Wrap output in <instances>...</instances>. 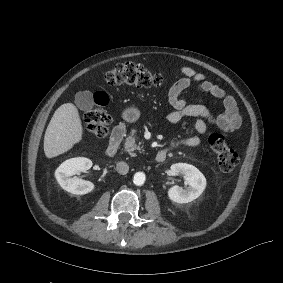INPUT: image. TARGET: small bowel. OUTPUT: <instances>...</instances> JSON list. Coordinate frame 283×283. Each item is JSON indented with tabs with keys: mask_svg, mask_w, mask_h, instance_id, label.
<instances>
[{
	"mask_svg": "<svg viewBox=\"0 0 283 283\" xmlns=\"http://www.w3.org/2000/svg\"><path fill=\"white\" fill-rule=\"evenodd\" d=\"M180 71L182 77L174 82L168 91V102L173 108L167 115L168 122L176 124L187 117L196 118L193 129L198 134H204L211 125L226 134L240 128L241 116L237 103L232 96L228 95L220 86L212 83L205 74L199 73L191 67L184 66ZM192 86L222 100L224 112L214 117L206 106L189 104L182 94ZM200 144V137L189 136L172 143V147H197Z\"/></svg>",
	"mask_w": 283,
	"mask_h": 283,
	"instance_id": "obj_1",
	"label": "small bowel"
}]
</instances>
